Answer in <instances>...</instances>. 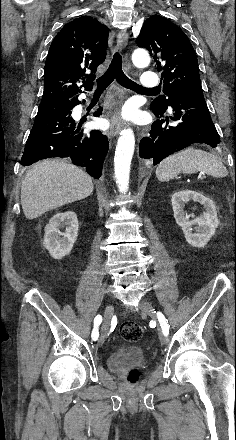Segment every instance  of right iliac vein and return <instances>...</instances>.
I'll return each instance as SVG.
<instances>
[{
  "label": "right iliac vein",
  "instance_id": "63e3f726",
  "mask_svg": "<svg viewBox=\"0 0 236 440\" xmlns=\"http://www.w3.org/2000/svg\"><path fill=\"white\" fill-rule=\"evenodd\" d=\"M114 313V307L112 304H108L104 310V319L101 327L100 343H102L108 333L110 321Z\"/></svg>",
  "mask_w": 236,
  "mask_h": 440
}]
</instances>
